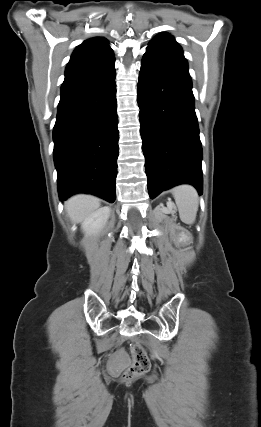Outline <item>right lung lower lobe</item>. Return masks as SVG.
I'll list each match as a JSON object with an SVG mask.
<instances>
[{
	"instance_id": "1",
	"label": "right lung lower lobe",
	"mask_w": 261,
	"mask_h": 427,
	"mask_svg": "<svg viewBox=\"0 0 261 427\" xmlns=\"http://www.w3.org/2000/svg\"><path fill=\"white\" fill-rule=\"evenodd\" d=\"M116 70L61 89L53 130L61 200L91 193L114 202L118 140Z\"/></svg>"
}]
</instances>
